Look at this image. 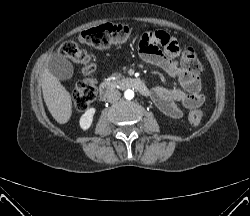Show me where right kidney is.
<instances>
[{
  "instance_id": "right-kidney-1",
  "label": "right kidney",
  "mask_w": 250,
  "mask_h": 216,
  "mask_svg": "<svg viewBox=\"0 0 250 216\" xmlns=\"http://www.w3.org/2000/svg\"><path fill=\"white\" fill-rule=\"evenodd\" d=\"M96 112L95 108H89L81 116L79 124L82 130H88L93 122V117Z\"/></svg>"
}]
</instances>
